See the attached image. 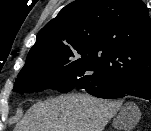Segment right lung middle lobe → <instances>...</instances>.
Here are the masks:
<instances>
[{
    "mask_svg": "<svg viewBox=\"0 0 151 131\" xmlns=\"http://www.w3.org/2000/svg\"><path fill=\"white\" fill-rule=\"evenodd\" d=\"M105 80L95 60L74 44L32 47L19 72L13 91L34 92L45 87L73 90L78 80Z\"/></svg>",
    "mask_w": 151,
    "mask_h": 131,
    "instance_id": "right-lung-middle-lobe-1",
    "label": "right lung middle lobe"
}]
</instances>
